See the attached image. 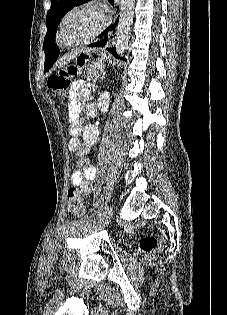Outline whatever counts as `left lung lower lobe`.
<instances>
[{
	"mask_svg": "<svg viewBox=\"0 0 227 315\" xmlns=\"http://www.w3.org/2000/svg\"><path fill=\"white\" fill-rule=\"evenodd\" d=\"M111 3L113 4V0H111ZM119 18L116 19L115 24L112 25V27L107 28L106 30H104L101 34H100V40L98 42L92 43L89 46L91 47H104L107 45L108 42V34L109 32L114 29L117 24H118ZM108 51L110 53H112L114 56L117 57L116 54V48H108ZM45 55H46V61L44 64V69L45 71H47L52 65L53 63L56 61V59L58 58L59 55V51L55 45V43L51 44L48 46V48L46 50H44Z\"/></svg>",
	"mask_w": 227,
	"mask_h": 315,
	"instance_id": "obj_1",
	"label": "left lung lower lobe"
}]
</instances>
